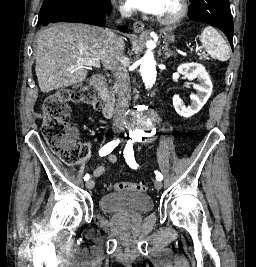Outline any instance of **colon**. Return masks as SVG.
Instances as JSON below:
<instances>
[{
  "label": "colon",
  "mask_w": 256,
  "mask_h": 267,
  "mask_svg": "<svg viewBox=\"0 0 256 267\" xmlns=\"http://www.w3.org/2000/svg\"><path fill=\"white\" fill-rule=\"evenodd\" d=\"M69 103L88 105L97 110L100 109V103L91 88L79 83L52 93L44 100L42 126L44 138L62 162L74 165L89 156V148L87 145L75 144V131L65 122L70 114ZM148 189L149 185L141 182H116L108 186L110 191L145 192Z\"/></svg>",
  "instance_id": "obj_1"
}]
</instances>
